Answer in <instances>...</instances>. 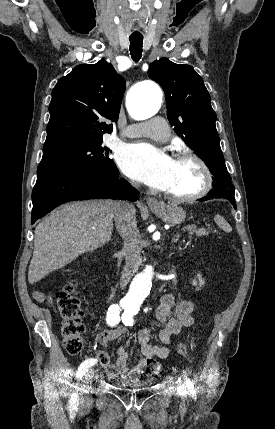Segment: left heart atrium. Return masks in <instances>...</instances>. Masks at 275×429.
I'll return each mask as SVG.
<instances>
[{
	"instance_id": "1",
	"label": "left heart atrium",
	"mask_w": 275,
	"mask_h": 429,
	"mask_svg": "<svg viewBox=\"0 0 275 429\" xmlns=\"http://www.w3.org/2000/svg\"><path fill=\"white\" fill-rule=\"evenodd\" d=\"M118 163L128 176L164 190L173 159L150 144L138 143L125 146L118 154Z\"/></svg>"
}]
</instances>
